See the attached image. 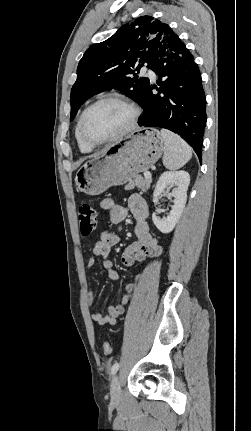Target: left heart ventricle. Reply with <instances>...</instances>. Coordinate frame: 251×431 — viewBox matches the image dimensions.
Listing matches in <instances>:
<instances>
[{
	"label": "left heart ventricle",
	"mask_w": 251,
	"mask_h": 431,
	"mask_svg": "<svg viewBox=\"0 0 251 431\" xmlns=\"http://www.w3.org/2000/svg\"><path fill=\"white\" fill-rule=\"evenodd\" d=\"M131 112L126 106L117 102H105L95 107L85 123L87 136L100 141L122 131L128 124Z\"/></svg>",
	"instance_id": "b2bd125f"
}]
</instances>
